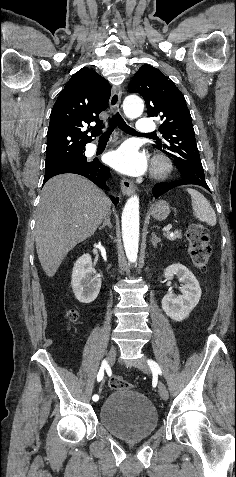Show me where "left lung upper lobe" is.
<instances>
[{
    "mask_svg": "<svg viewBox=\"0 0 236 477\" xmlns=\"http://www.w3.org/2000/svg\"><path fill=\"white\" fill-rule=\"evenodd\" d=\"M129 91L145 99L149 117L162 121L159 131L164 140L153 146L174 158L183 179L206 182L191 115L175 84L159 69L146 64L134 75Z\"/></svg>",
    "mask_w": 236,
    "mask_h": 477,
    "instance_id": "left-lung-upper-lobe-1",
    "label": "left lung upper lobe"
}]
</instances>
